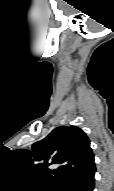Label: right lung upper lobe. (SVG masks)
<instances>
[{"label": "right lung upper lobe", "instance_id": "cb5924a9", "mask_svg": "<svg viewBox=\"0 0 114 191\" xmlns=\"http://www.w3.org/2000/svg\"><path fill=\"white\" fill-rule=\"evenodd\" d=\"M18 155L37 174L50 179L54 187L95 169L89 138L77 126H61L32 145V151L18 149Z\"/></svg>", "mask_w": 114, "mask_h": 191}]
</instances>
